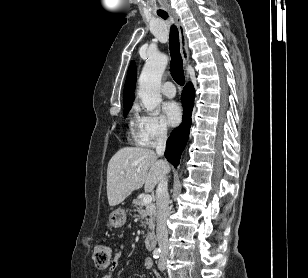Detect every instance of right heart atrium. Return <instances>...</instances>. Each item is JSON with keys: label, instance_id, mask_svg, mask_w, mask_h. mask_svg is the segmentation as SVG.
<instances>
[{"label": "right heart atrium", "instance_id": "right-heart-atrium-1", "mask_svg": "<svg viewBox=\"0 0 308 278\" xmlns=\"http://www.w3.org/2000/svg\"><path fill=\"white\" fill-rule=\"evenodd\" d=\"M168 127L161 116L155 113H142L135 122V139L145 147H151L165 140Z\"/></svg>", "mask_w": 308, "mask_h": 278}]
</instances>
